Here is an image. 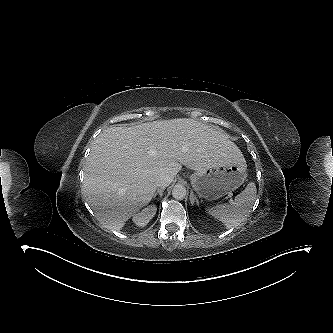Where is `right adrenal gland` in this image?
<instances>
[{
	"mask_svg": "<svg viewBox=\"0 0 333 333\" xmlns=\"http://www.w3.org/2000/svg\"><path fill=\"white\" fill-rule=\"evenodd\" d=\"M164 190H165V188L158 189L156 191V193L154 194L153 198H155L158 194L160 195V197H162Z\"/></svg>",
	"mask_w": 333,
	"mask_h": 333,
	"instance_id": "obj_1",
	"label": "right adrenal gland"
}]
</instances>
